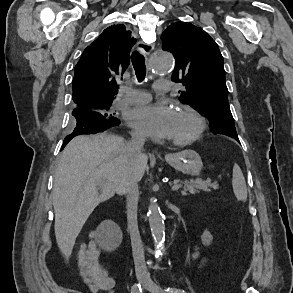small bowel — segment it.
Listing matches in <instances>:
<instances>
[{
	"label": "small bowel",
	"mask_w": 293,
	"mask_h": 293,
	"mask_svg": "<svg viewBox=\"0 0 293 293\" xmlns=\"http://www.w3.org/2000/svg\"><path fill=\"white\" fill-rule=\"evenodd\" d=\"M212 241V237L211 234L208 231H204L202 236H201V243L203 246H208L210 245ZM199 256V249L196 248L194 253H193V259H197ZM109 281H110V286H109V293H114V286H115V282L112 278L109 277Z\"/></svg>",
	"instance_id": "obj_1"
}]
</instances>
